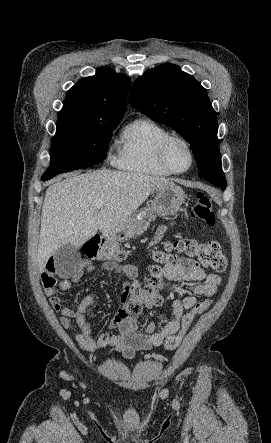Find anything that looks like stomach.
Here are the masks:
<instances>
[{"instance_id":"stomach-1","label":"stomach","mask_w":271,"mask_h":443,"mask_svg":"<svg viewBox=\"0 0 271 443\" xmlns=\"http://www.w3.org/2000/svg\"><path fill=\"white\" fill-rule=\"evenodd\" d=\"M184 200L185 194L182 188L175 186V184H168V186L158 188L156 198L151 202V212H156L158 216H175ZM144 214L145 212H141L139 220H142ZM140 227L141 225H136L134 218L129 216L126 222L121 227H118L117 231H111L109 235L115 241H124V239H129V237L141 235L145 229H140Z\"/></svg>"}]
</instances>
